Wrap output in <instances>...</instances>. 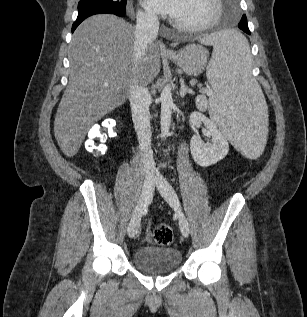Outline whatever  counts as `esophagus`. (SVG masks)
I'll use <instances>...</instances> for the list:
<instances>
[{
  "label": "esophagus",
  "mask_w": 307,
  "mask_h": 317,
  "mask_svg": "<svg viewBox=\"0 0 307 317\" xmlns=\"http://www.w3.org/2000/svg\"><path fill=\"white\" fill-rule=\"evenodd\" d=\"M166 52H168V53H169V52H171V50L167 49V50H166Z\"/></svg>",
  "instance_id": "1"
}]
</instances>
